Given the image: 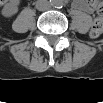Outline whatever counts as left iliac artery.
I'll return each instance as SVG.
<instances>
[{
  "label": "left iliac artery",
  "mask_w": 103,
  "mask_h": 103,
  "mask_svg": "<svg viewBox=\"0 0 103 103\" xmlns=\"http://www.w3.org/2000/svg\"><path fill=\"white\" fill-rule=\"evenodd\" d=\"M63 7V3L61 2V1H59L58 3H57V8H62Z\"/></svg>",
  "instance_id": "obj_1"
}]
</instances>
